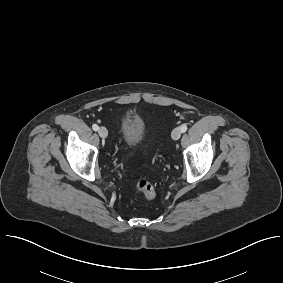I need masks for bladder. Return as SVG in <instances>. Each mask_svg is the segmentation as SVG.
<instances>
[{"label":"bladder","mask_w":283,"mask_h":283,"mask_svg":"<svg viewBox=\"0 0 283 283\" xmlns=\"http://www.w3.org/2000/svg\"><path fill=\"white\" fill-rule=\"evenodd\" d=\"M122 140L133 146L140 145L145 138V127L142 120L132 114L125 115L120 122Z\"/></svg>","instance_id":"bladder-1"}]
</instances>
